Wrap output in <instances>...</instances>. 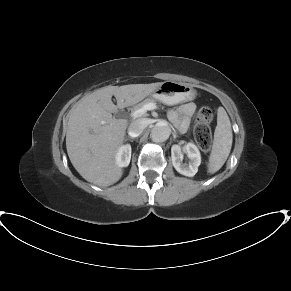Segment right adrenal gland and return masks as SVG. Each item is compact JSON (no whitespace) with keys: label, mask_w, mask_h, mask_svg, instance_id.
I'll return each mask as SVG.
<instances>
[{"label":"right adrenal gland","mask_w":291,"mask_h":291,"mask_svg":"<svg viewBox=\"0 0 291 291\" xmlns=\"http://www.w3.org/2000/svg\"><path fill=\"white\" fill-rule=\"evenodd\" d=\"M126 140H131V141H133V138H127Z\"/></svg>","instance_id":"2a0ac1e0"}]
</instances>
